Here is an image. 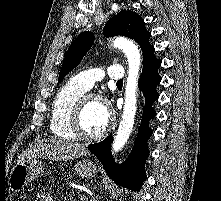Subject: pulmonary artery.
<instances>
[{
    "label": "pulmonary artery",
    "instance_id": "e3ab8cb5",
    "mask_svg": "<svg viewBox=\"0 0 221 201\" xmlns=\"http://www.w3.org/2000/svg\"><path fill=\"white\" fill-rule=\"evenodd\" d=\"M105 76L115 81L123 80L124 68L121 65L114 64L110 65L106 71L100 68L82 71L73 78V81L85 90H89L96 82L101 81Z\"/></svg>",
    "mask_w": 221,
    "mask_h": 201
}]
</instances>
